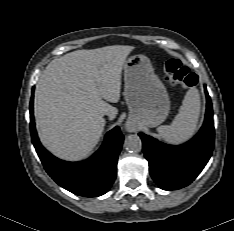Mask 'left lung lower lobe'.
<instances>
[{"label": "left lung lower lobe", "mask_w": 234, "mask_h": 231, "mask_svg": "<svg viewBox=\"0 0 234 231\" xmlns=\"http://www.w3.org/2000/svg\"><path fill=\"white\" fill-rule=\"evenodd\" d=\"M204 88L207 98L204 124L189 142L180 146H170L139 133L144 155L149 162L150 174L163 190L180 189L189 185L212 155L215 137L213 109L206 86Z\"/></svg>", "instance_id": "1"}]
</instances>
